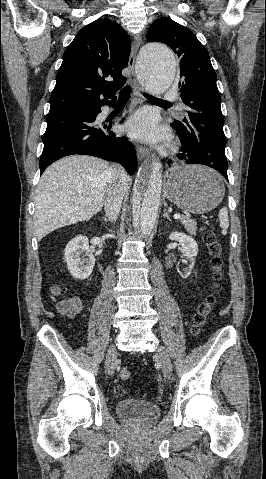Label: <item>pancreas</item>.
<instances>
[{
	"label": "pancreas",
	"mask_w": 266,
	"mask_h": 479,
	"mask_svg": "<svg viewBox=\"0 0 266 479\" xmlns=\"http://www.w3.org/2000/svg\"><path fill=\"white\" fill-rule=\"evenodd\" d=\"M180 221L182 222L183 226L190 234H193V235L196 234L197 224L195 219L182 215L180 218Z\"/></svg>",
	"instance_id": "cf45deb5"
}]
</instances>
